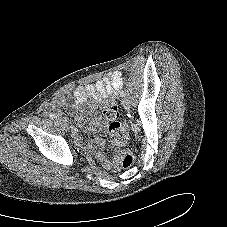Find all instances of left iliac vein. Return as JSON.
Returning a JSON list of instances; mask_svg holds the SVG:
<instances>
[{"instance_id":"4c4485c4","label":"left iliac vein","mask_w":227,"mask_h":227,"mask_svg":"<svg viewBox=\"0 0 227 227\" xmlns=\"http://www.w3.org/2000/svg\"><path fill=\"white\" fill-rule=\"evenodd\" d=\"M122 105H123V107L126 109V110H130V102L128 101V100H126V99H123L122 100Z\"/></svg>"}]
</instances>
